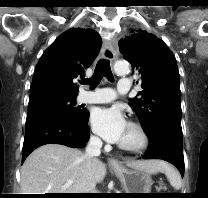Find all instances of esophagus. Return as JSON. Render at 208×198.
Listing matches in <instances>:
<instances>
[{"label": "esophagus", "mask_w": 208, "mask_h": 198, "mask_svg": "<svg viewBox=\"0 0 208 198\" xmlns=\"http://www.w3.org/2000/svg\"><path fill=\"white\" fill-rule=\"evenodd\" d=\"M103 57L109 60H113L115 58V52L112 44L110 42H106L103 46ZM109 165L112 167H118L119 162L114 158H110L108 161Z\"/></svg>", "instance_id": "esophagus-1"}]
</instances>
